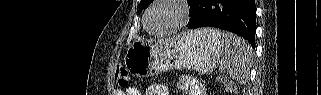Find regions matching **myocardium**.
<instances>
[{"mask_svg": "<svg viewBox=\"0 0 321 95\" xmlns=\"http://www.w3.org/2000/svg\"><path fill=\"white\" fill-rule=\"evenodd\" d=\"M164 2H169L175 4L179 10H180V20L179 22L173 26L172 28L162 31V32H154L149 29L148 27V18L150 15V12L159 4L164 3ZM190 19V10L188 7V4L185 0H154L151 2V4L148 6V8L145 10L144 13V19H143V26L144 29L154 35V36H167L171 34H175L179 32L189 21Z\"/></svg>", "mask_w": 321, "mask_h": 95, "instance_id": "f54148a6", "label": "myocardium"}]
</instances>
